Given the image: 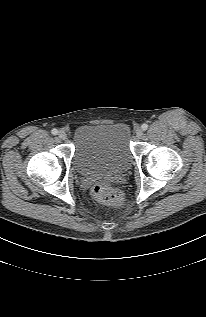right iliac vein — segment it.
I'll return each mask as SVG.
<instances>
[{"instance_id":"1","label":"right iliac vein","mask_w":206,"mask_h":317,"mask_svg":"<svg viewBox=\"0 0 206 317\" xmlns=\"http://www.w3.org/2000/svg\"><path fill=\"white\" fill-rule=\"evenodd\" d=\"M58 137H59L60 139L64 140V139L67 138V134H66L65 131L60 130V131L58 132Z\"/></svg>"}]
</instances>
